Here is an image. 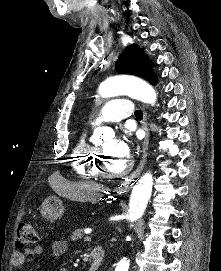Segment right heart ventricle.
Segmentation results:
<instances>
[{"instance_id": "obj_1", "label": "right heart ventricle", "mask_w": 221, "mask_h": 271, "mask_svg": "<svg viewBox=\"0 0 221 271\" xmlns=\"http://www.w3.org/2000/svg\"><path fill=\"white\" fill-rule=\"evenodd\" d=\"M87 143L88 138H79V142L76 143V146L81 147L80 149L82 151L85 149L90 153H97V146ZM92 159L93 154H72L73 164H82V166L74 167V172H76L77 176H81L82 179H101V174H98L99 164H96Z\"/></svg>"}]
</instances>
